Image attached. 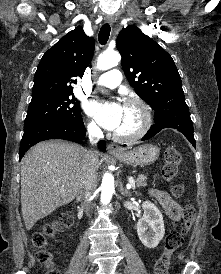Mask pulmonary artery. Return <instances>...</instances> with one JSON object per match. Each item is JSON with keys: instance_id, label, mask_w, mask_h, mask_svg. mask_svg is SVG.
<instances>
[{"instance_id": "1", "label": "pulmonary artery", "mask_w": 221, "mask_h": 274, "mask_svg": "<svg viewBox=\"0 0 221 274\" xmlns=\"http://www.w3.org/2000/svg\"><path fill=\"white\" fill-rule=\"evenodd\" d=\"M122 80L121 72L117 69L110 70L104 74H102L98 80L97 84L99 86L107 87V88H116Z\"/></svg>"}]
</instances>
